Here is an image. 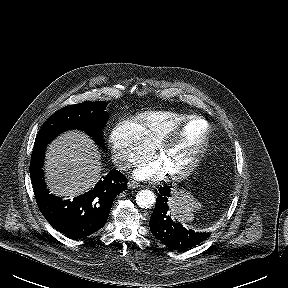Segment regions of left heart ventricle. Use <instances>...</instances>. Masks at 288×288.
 <instances>
[{
	"label": "left heart ventricle",
	"instance_id": "b2bd125f",
	"mask_svg": "<svg viewBox=\"0 0 288 288\" xmlns=\"http://www.w3.org/2000/svg\"><path fill=\"white\" fill-rule=\"evenodd\" d=\"M205 130L204 122H190L165 153L160 156V162L164 169L171 172L184 166L202 142Z\"/></svg>",
	"mask_w": 288,
	"mask_h": 288
}]
</instances>
